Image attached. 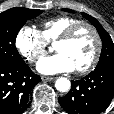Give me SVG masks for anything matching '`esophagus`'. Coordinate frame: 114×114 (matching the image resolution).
<instances>
[{"instance_id": "34e87169", "label": "esophagus", "mask_w": 114, "mask_h": 114, "mask_svg": "<svg viewBox=\"0 0 114 114\" xmlns=\"http://www.w3.org/2000/svg\"><path fill=\"white\" fill-rule=\"evenodd\" d=\"M41 79L46 82L53 81L55 78L54 77H49V76H42Z\"/></svg>"}]
</instances>
